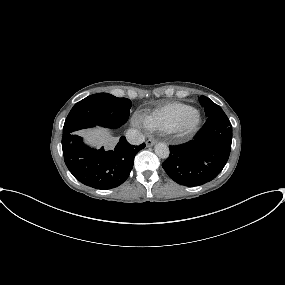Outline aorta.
Wrapping results in <instances>:
<instances>
[{
	"label": "aorta",
	"mask_w": 285,
	"mask_h": 285,
	"mask_svg": "<svg viewBox=\"0 0 285 285\" xmlns=\"http://www.w3.org/2000/svg\"><path fill=\"white\" fill-rule=\"evenodd\" d=\"M155 154L162 159L169 157L170 151L169 147L165 143H157L154 147Z\"/></svg>",
	"instance_id": "aorta-1"
}]
</instances>
